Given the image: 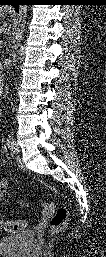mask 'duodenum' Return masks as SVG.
<instances>
[{
    "label": "duodenum",
    "mask_w": 106,
    "mask_h": 257,
    "mask_svg": "<svg viewBox=\"0 0 106 257\" xmlns=\"http://www.w3.org/2000/svg\"><path fill=\"white\" fill-rule=\"evenodd\" d=\"M2 80H0V90L2 89Z\"/></svg>",
    "instance_id": "duodenum-1"
}]
</instances>
